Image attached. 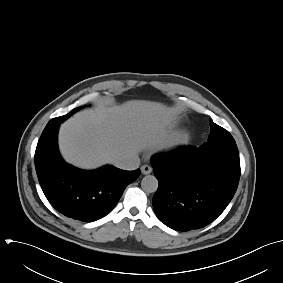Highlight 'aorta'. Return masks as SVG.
Returning a JSON list of instances; mask_svg holds the SVG:
<instances>
[{"label": "aorta", "mask_w": 283, "mask_h": 283, "mask_svg": "<svg viewBox=\"0 0 283 283\" xmlns=\"http://www.w3.org/2000/svg\"><path fill=\"white\" fill-rule=\"evenodd\" d=\"M141 187L145 192L153 193L158 188V180L153 175H147L143 177L141 181Z\"/></svg>", "instance_id": "762f6f07"}]
</instances>
